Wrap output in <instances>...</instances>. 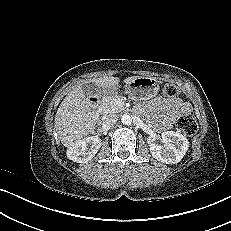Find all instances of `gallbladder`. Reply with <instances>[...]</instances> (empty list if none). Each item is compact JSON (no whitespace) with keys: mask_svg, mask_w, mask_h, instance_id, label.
Returning a JSON list of instances; mask_svg holds the SVG:
<instances>
[{"mask_svg":"<svg viewBox=\"0 0 231 231\" xmlns=\"http://www.w3.org/2000/svg\"><path fill=\"white\" fill-rule=\"evenodd\" d=\"M82 91L86 96H93L99 94L101 88L93 82L83 84Z\"/></svg>","mask_w":231,"mask_h":231,"instance_id":"1","label":"gallbladder"}]
</instances>
